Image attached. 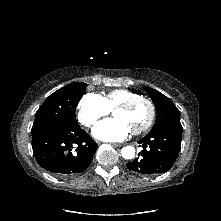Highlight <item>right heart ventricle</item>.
<instances>
[{
  "label": "right heart ventricle",
  "instance_id": "obj_1",
  "mask_svg": "<svg viewBox=\"0 0 221 221\" xmlns=\"http://www.w3.org/2000/svg\"><path fill=\"white\" fill-rule=\"evenodd\" d=\"M140 95L134 91L128 90V89H114L107 93H105L102 98L104 99L106 105L110 110L115 109L118 105L138 98Z\"/></svg>",
  "mask_w": 221,
  "mask_h": 221
}]
</instances>
